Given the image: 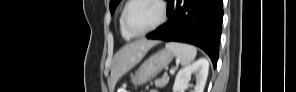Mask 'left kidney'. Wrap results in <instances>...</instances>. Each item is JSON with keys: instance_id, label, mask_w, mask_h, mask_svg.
Segmentation results:
<instances>
[{"instance_id": "1", "label": "left kidney", "mask_w": 296, "mask_h": 92, "mask_svg": "<svg viewBox=\"0 0 296 92\" xmlns=\"http://www.w3.org/2000/svg\"><path fill=\"white\" fill-rule=\"evenodd\" d=\"M209 71V62L205 58H201L191 65L181 69L175 78L173 85V92H180V90L187 85L188 79L192 74H196V85L192 92H203Z\"/></svg>"}]
</instances>
